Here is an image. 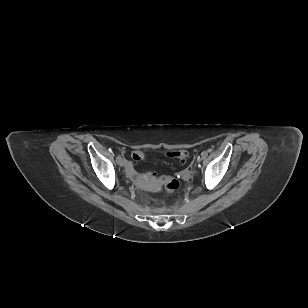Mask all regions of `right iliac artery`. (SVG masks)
Returning <instances> with one entry per match:
<instances>
[{"mask_svg":"<svg viewBox=\"0 0 308 308\" xmlns=\"http://www.w3.org/2000/svg\"><path fill=\"white\" fill-rule=\"evenodd\" d=\"M120 158H121L120 156H117L116 161L118 162Z\"/></svg>","mask_w":308,"mask_h":308,"instance_id":"right-iliac-artery-1","label":"right iliac artery"}]
</instances>
